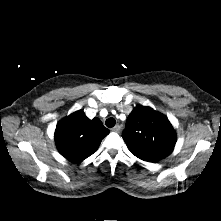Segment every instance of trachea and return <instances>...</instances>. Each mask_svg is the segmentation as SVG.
<instances>
[{"label":"trachea","instance_id":"obj_1","mask_svg":"<svg viewBox=\"0 0 221 221\" xmlns=\"http://www.w3.org/2000/svg\"><path fill=\"white\" fill-rule=\"evenodd\" d=\"M115 123H116V121H115L114 118H108V119L105 121L106 126L109 127V128L114 127Z\"/></svg>","mask_w":221,"mask_h":221}]
</instances>
